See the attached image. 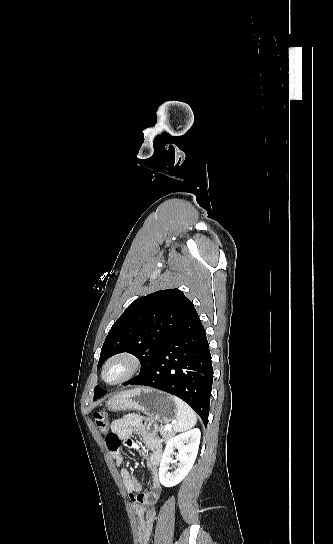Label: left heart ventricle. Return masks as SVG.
Returning <instances> with one entry per match:
<instances>
[{"mask_svg":"<svg viewBox=\"0 0 333 544\" xmlns=\"http://www.w3.org/2000/svg\"><path fill=\"white\" fill-rule=\"evenodd\" d=\"M125 371V366L123 364H115L112 367H110L107 371V379L110 381H114L118 379Z\"/></svg>","mask_w":333,"mask_h":544,"instance_id":"obj_1","label":"left heart ventricle"}]
</instances>
